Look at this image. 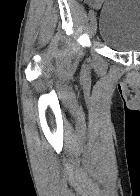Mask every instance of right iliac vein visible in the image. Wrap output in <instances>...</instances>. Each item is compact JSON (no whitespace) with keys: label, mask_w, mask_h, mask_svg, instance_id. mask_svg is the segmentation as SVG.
I'll use <instances>...</instances> for the list:
<instances>
[{"label":"right iliac vein","mask_w":140,"mask_h":196,"mask_svg":"<svg viewBox=\"0 0 140 196\" xmlns=\"http://www.w3.org/2000/svg\"><path fill=\"white\" fill-rule=\"evenodd\" d=\"M90 25H91V29H92V34H93V36H95L96 30H97V21H96L95 16L91 17Z\"/></svg>","instance_id":"right-iliac-vein-1"}]
</instances>
